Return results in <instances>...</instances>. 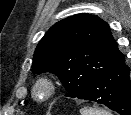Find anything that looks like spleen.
I'll list each match as a JSON object with an SVG mask.
<instances>
[{"label": "spleen", "instance_id": "obj_1", "mask_svg": "<svg viewBox=\"0 0 131 115\" xmlns=\"http://www.w3.org/2000/svg\"><path fill=\"white\" fill-rule=\"evenodd\" d=\"M81 115H111L110 112L103 109L81 108Z\"/></svg>", "mask_w": 131, "mask_h": 115}]
</instances>
